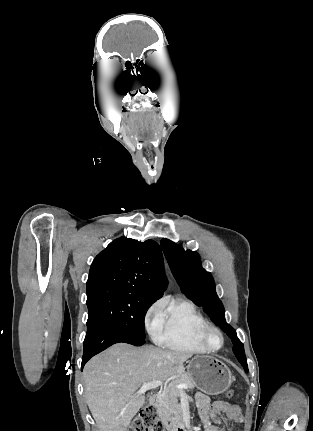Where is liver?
<instances>
[{"mask_svg":"<svg viewBox=\"0 0 313 431\" xmlns=\"http://www.w3.org/2000/svg\"><path fill=\"white\" fill-rule=\"evenodd\" d=\"M192 355L155 346L118 343L93 357L84 368L85 399L100 431H127L145 403L143 384L184 372Z\"/></svg>","mask_w":313,"mask_h":431,"instance_id":"6515ba94","label":"liver"}]
</instances>
